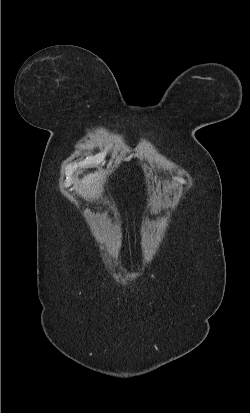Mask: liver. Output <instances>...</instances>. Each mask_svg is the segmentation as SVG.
Masks as SVG:
<instances>
[{
	"label": "liver",
	"mask_w": 250,
	"mask_h": 413,
	"mask_svg": "<svg viewBox=\"0 0 250 413\" xmlns=\"http://www.w3.org/2000/svg\"><path fill=\"white\" fill-rule=\"evenodd\" d=\"M100 185V175L98 173L89 174L81 182V186L85 188H92L95 193Z\"/></svg>",
	"instance_id": "6515ba94"
}]
</instances>
